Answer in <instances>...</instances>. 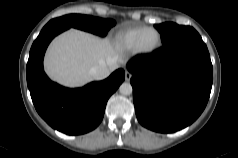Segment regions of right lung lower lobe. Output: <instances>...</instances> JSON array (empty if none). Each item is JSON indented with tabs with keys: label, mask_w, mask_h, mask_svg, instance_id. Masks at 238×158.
Wrapping results in <instances>:
<instances>
[{
	"label": "right lung lower lobe",
	"mask_w": 238,
	"mask_h": 158,
	"mask_svg": "<svg viewBox=\"0 0 238 158\" xmlns=\"http://www.w3.org/2000/svg\"><path fill=\"white\" fill-rule=\"evenodd\" d=\"M67 29H42L29 53L27 85L37 112L51 127L68 135H79L100 124L106 103L124 81L125 72L118 69L103 81L76 89L52 82L43 70L44 53L50 41Z\"/></svg>",
	"instance_id": "obj_1"
}]
</instances>
